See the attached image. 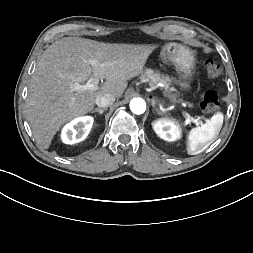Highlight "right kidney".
I'll return each mask as SVG.
<instances>
[{
  "label": "right kidney",
  "mask_w": 253,
  "mask_h": 253,
  "mask_svg": "<svg viewBox=\"0 0 253 253\" xmlns=\"http://www.w3.org/2000/svg\"><path fill=\"white\" fill-rule=\"evenodd\" d=\"M94 119L91 116L79 117L67 124L62 130V140L66 144L83 141L89 134Z\"/></svg>",
  "instance_id": "obj_1"
}]
</instances>
